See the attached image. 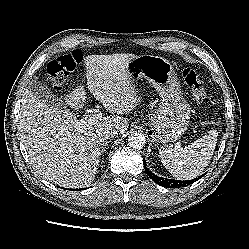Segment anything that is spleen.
I'll use <instances>...</instances> for the list:
<instances>
[{"label":"spleen","instance_id":"3e777b00","mask_svg":"<svg viewBox=\"0 0 249 249\" xmlns=\"http://www.w3.org/2000/svg\"><path fill=\"white\" fill-rule=\"evenodd\" d=\"M218 132L211 130L187 147H161L159 157L162 164L177 179H193L209 164L217 143Z\"/></svg>","mask_w":249,"mask_h":249}]
</instances>
